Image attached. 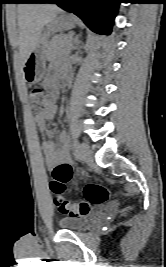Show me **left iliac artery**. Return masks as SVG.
<instances>
[{"mask_svg": "<svg viewBox=\"0 0 166 267\" xmlns=\"http://www.w3.org/2000/svg\"><path fill=\"white\" fill-rule=\"evenodd\" d=\"M74 155L76 158H80L79 152L77 150V141L74 142Z\"/></svg>", "mask_w": 166, "mask_h": 267, "instance_id": "44dca946", "label": "left iliac artery"}]
</instances>
